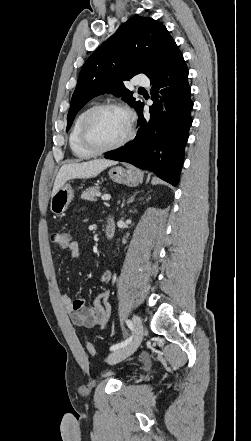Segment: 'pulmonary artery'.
Masks as SVG:
<instances>
[{"instance_id": "1", "label": "pulmonary artery", "mask_w": 251, "mask_h": 441, "mask_svg": "<svg viewBox=\"0 0 251 441\" xmlns=\"http://www.w3.org/2000/svg\"><path fill=\"white\" fill-rule=\"evenodd\" d=\"M134 82L138 86H148L149 85V80L144 76H137L135 78Z\"/></svg>"}]
</instances>
